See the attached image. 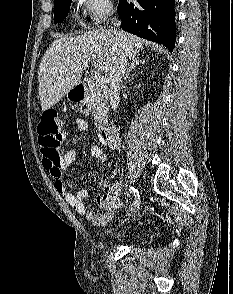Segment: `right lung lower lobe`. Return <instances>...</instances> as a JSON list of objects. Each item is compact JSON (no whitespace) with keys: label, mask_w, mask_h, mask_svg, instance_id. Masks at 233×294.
<instances>
[{"label":"right lung lower lobe","mask_w":233,"mask_h":294,"mask_svg":"<svg viewBox=\"0 0 233 294\" xmlns=\"http://www.w3.org/2000/svg\"><path fill=\"white\" fill-rule=\"evenodd\" d=\"M119 0L117 12L122 28L173 51L176 41L175 0Z\"/></svg>","instance_id":"obj_1"}]
</instances>
